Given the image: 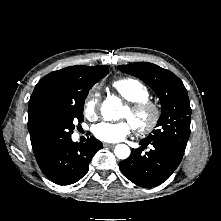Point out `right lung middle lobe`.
Instances as JSON below:
<instances>
[{"mask_svg":"<svg viewBox=\"0 0 221 221\" xmlns=\"http://www.w3.org/2000/svg\"><path fill=\"white\" fill-rule=\"evenodd\" d=\"M100 77L81 83L66 93L57 103L44 110L39 120V136L44 145L71 136L75 122H82L84 102L89 90Z\"/></svg>","mask_w":221,"mask_h":221,"instance_id":"obj_1","label":"right lung middle lobe"}]
</instances>
